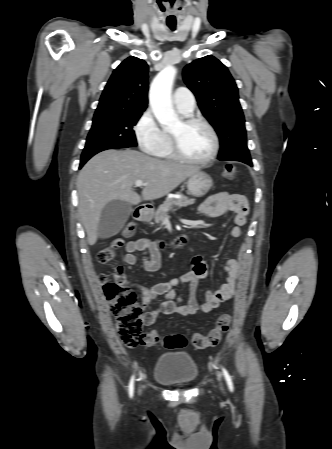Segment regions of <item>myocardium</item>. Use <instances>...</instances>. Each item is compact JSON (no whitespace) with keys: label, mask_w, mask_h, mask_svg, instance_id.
Listing matches in <instances>:
<instances>
[{"label":"myocardium","mask_w":332,"mask_h":449,"mask_svg":"<svg viewBox=\"0 0 332 449\" xmlns=\"http://www.w3.org/2000/svg\"><path fill=\"white\" fill-rule=\"evenodd\" d=\"M181 122L184 125L200 124V125L204 126L208 130V132L211 136L212 150H211L210 154L205 158L190 157L182 151L176 136L170 133L169 134L170 143H171V148H172V152H173L174 156L184 162L192 163V164L205 165V164L211 163L217 157L219 148H220L219 138H218L217 132L214 129V127L207 120L200 118V117H195V116H185L181 119Z\"/></svg>","instance_id":"1"}]
</instances>
